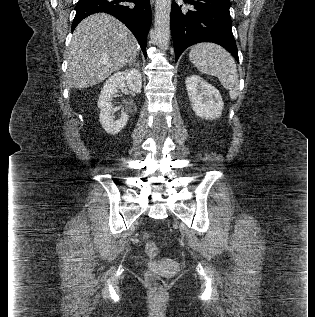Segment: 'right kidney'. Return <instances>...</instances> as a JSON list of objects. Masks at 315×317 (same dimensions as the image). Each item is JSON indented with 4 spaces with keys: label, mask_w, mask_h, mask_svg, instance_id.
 <instances>
[{
    "label": "right kidney",
    "mask_w": 315,
    "mask_h": 317,
    "mask_svg": "<svg viewBox=\"0 0 315 317\" xmlns=\"http://www.w3.org/2000/svg\"><path fill=\"white\" fill-rule=\"evenodd\" d=\"M126 87L130 92H141L142 79L138 70L130 69L115 73L109 77L101 90L98 100V108L100 109L99 120L108 134H118L128 122L129 116L126 112H122L120 117L115 119L112 104V98L118 91L125 92Z\"/></svg>",
    "instance_id": "ca27d5eb"
}]
</instances>
